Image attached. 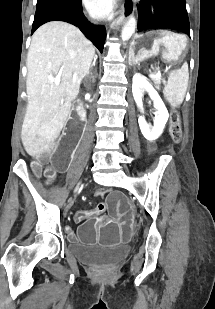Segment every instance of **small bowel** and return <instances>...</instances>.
Wrapping results in <instances>:
<instances>
[{
    "label": "small bowel",
    "mask_w": 215,
    "mask_h": 309,
    "mask_svg": "<svg viewBox=\"0 0 215 309\" xmlns=\"http://www.w3.org/2000/svg\"><path fill=\"white\" fill-rule=\"evenodd\" d=\"M89 212V217L88 218H93V217H95V216H97L98 214L96 213V211L95 210H93V211H88ZM72 240H74V237L73 236H71L70 237Z\"/></svg>",
    "instance_id": "obj_1"
}]
</instances>
